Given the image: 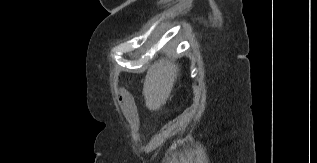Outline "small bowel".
<instances>
[{"instance_id": "c3829d8e", "label": "small bowel", "mask_w": 317, "mask_h": 163, "mask_svg": "<svg viewBox=\"0 0 317 163\" xmlns=\"http://www.w3.org/2000/svg\"><path fill=\"white\" fill-rule=\"evenodd\" d=\"M121 101V99H120ZM122 111L124 115L133 123L136 124L138 121L137 111L132 97L127 94V96L122 100Z\"/></svg>"}]
</instances>
